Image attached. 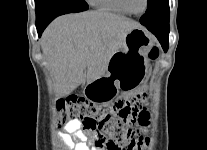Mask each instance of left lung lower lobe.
<instances>
[{
    "label": "left lung lower lobe",
    "mask_w": 207,
    "mask_h": 150,
    "mask_svg": "<svg viewBox=\"0 0 207 150\" xmlns=\"http://www.w3.org/2000/svg\"><path fill=\"white\" fill-rule=\"evenodd\" d=\"M159 40L163 50H168L169 25L163 26H146Z\"/></svg>",
    "instance_id": "1"
}]
</instances>
